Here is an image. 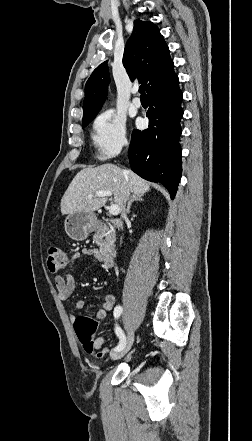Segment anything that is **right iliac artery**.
Returning <instances> with one entry per match:
<instances>
[{
  "label": "right iliac artery",
  "instance_id": "1",
  "mask_svg": "<svg viewBox=\"0 0 252 441\" xmlns=\"http://www.w3.org/2000/svg\"><path fill=\"white\" fill-rule=\"evenodd\" d=\"M122 311L123 310H122V307L120 305L116 306L115 309H114V317L116 319H118L120 317V315L122 314ZM115 332H116V335L118 336L120 341H119L118 346L115 347L114 351H119V350L124 348V346L126 344V338H125L124 332L122 331L120 326H118L117 324H116V327H115Z\"/></svg>",
  "mask_w": 252,
  "mask_h": 441
}]
</instances>
